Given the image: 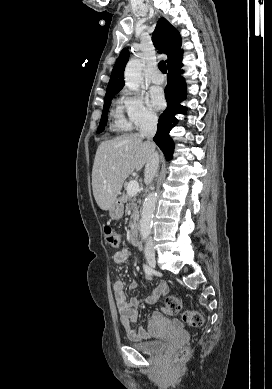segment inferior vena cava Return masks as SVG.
I'll list each match as a JSON object with an SVG mask.
<instances>
[{"instance_id": "1", "label": "inferior vena cava", "mask_w": 272, "mask_h": 389, "mask_svg": "<svg viewBox=\"0 0 272 389\" xmlns=\"http://www.w3.org/2000/svg\"><path fill=\"white\" fill-rule=\"evenodd\" d=\"M158 119L156 116L149 115L145 118L140 127V134L151 141L157 130ZM159 167V155L153 150L145 165V182L150 183L157 173ZM154 244L152 238L147 239L145 244V253H154Z\"/></svg>"}]
</instances>
